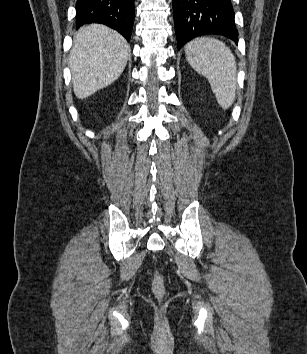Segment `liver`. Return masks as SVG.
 Masks as SVG:
<instances>
[{
  "label": "liver",
  "mask_w": 307,
  "mask_h": 354,
  "mask_svg": "<svg viewBox=\"0 0 307 354\" xmlns=\"http://www.w3.org/2000/svg\"><path fill=\"white\" fill-rule=\"evenodd\" d=\"M128 56L129 45L115 30L102 24L80 28L69 56L76 97L85 99L111 85L125 69Z\"/></svg>",
  "instance_id": "1"
}]
</instances>
